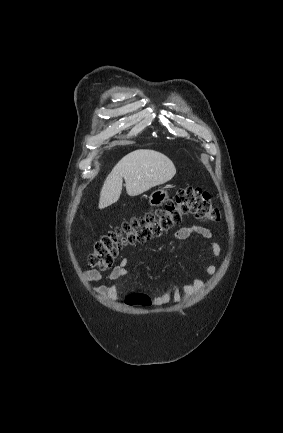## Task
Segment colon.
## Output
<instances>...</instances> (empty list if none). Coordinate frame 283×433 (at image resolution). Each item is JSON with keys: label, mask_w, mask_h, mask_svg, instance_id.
Instances as JSON below:
<instances>
[{"label": "colon", "mask_w": 283, "mask_h": 433, "mask_svg": "<svg viewBox=\"0 0 283 433\" xmlns=\"http://www.w3.org/2000/svg\"><path fill=\"white\" fill-rule=\"evenodd\" d=\"M185 215H193L207 223H216L221 219L207 192L193 187L180 188L163 207L124 220L102 235L89 254L90 265L100 270L110 269L124 247L161 236L178 225ZM126 301L129 305L140 306H148L152 302L149 296L142 293L132 294Z\"/></svg>", "instance_id": "5ec220e1"}]
</instances>
